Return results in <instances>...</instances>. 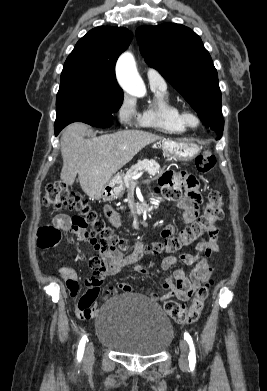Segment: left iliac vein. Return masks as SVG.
<instances>
[{
  "label": "left iliac vein",
  "instance_id": "1",
  "mask_svg": "<svg viewBox=\"0 0 267 391\" xmlns=\"http://www.w3.org/2000/svg\"><path fill=\"white\" fill-rule=\"evenodd\" d=\"M179 346L181 350L180 357H179V366L181 369L185 370L188 368V362H189V358H188L189 349H188L187 341L185 339H181Z\"/></svg>",
  "mask_w": 267,
  "mask_h": 391
}]
</instances>
